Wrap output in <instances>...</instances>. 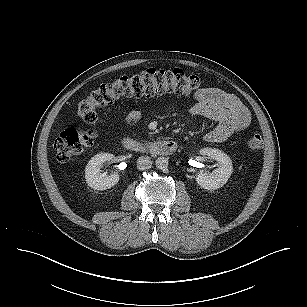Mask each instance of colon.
Wrapping results in <instances>:
<instances>
[{
  "instance_id": "5ec220e1",
  "label": "colon",
  "mask_w": 307,
  "mask_h": 307,
  "mask_svg": "<svg viewBox=\"0 0 307 307\" xmlns=\"http://www.w3.org/2000/svg\"><path fill=\"white\" fill-rule=\"evenodd\" d=\"M199 86L196 76L181 69H148L139 73L125 75L117 80L94 89L83 99L77 109L78 116L88 124L98 120V109L114 103L121 97L151 98L164 94L188 96ZM96 138L94 130L67 129L56 139L54 150L59 161L82 154ZM246 145L251 150L263 146L260 134H251Z\"/></svg>"
}]
</instances>
